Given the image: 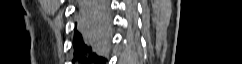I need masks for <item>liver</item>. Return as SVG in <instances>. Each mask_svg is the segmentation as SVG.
<instances>
[{"label": "liver", "mask_w": 242, "mask_h": 64, "mask_svg": "<svg viewBox=\"0 0 242 64\" xmlns=\"http://www.w3.org/2000/svg\"><path fill=\"white\" fill-rule=\"evenodd\" d=\"M78 28H82L85 31V33L90 38H93V39H98L99 37H103L108 33V30H109V29H104L97 19L84 20L79 18Z\"/></svg>", "instance_id": "1"}]
</instances>
